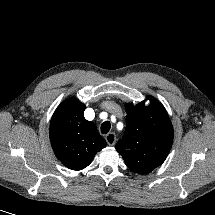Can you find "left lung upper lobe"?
<instances>
[{
    "mask_svg": "<svg viewBox=\"0 0 215 215\" xmlns=\"http://www.w3.org/2000/svg\"><path fill=\"white\" fill-rule=\"evenodd\" d=\"M125 105L126 132L116 150L132 171L147 174L166 159L173 142V127L164 106L154 97Z\"/></svg>",
    "mask_w": 215,
    "mask_h": 215,
    "instance_id": "left-lung-upper-lobe-1",
    "label": "left lung upper lobe"
}]
</instances>
